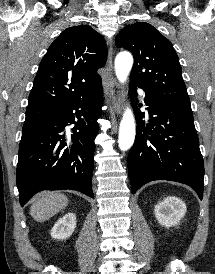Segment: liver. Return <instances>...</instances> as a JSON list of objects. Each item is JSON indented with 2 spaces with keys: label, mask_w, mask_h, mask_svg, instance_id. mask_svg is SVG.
Listing matches in <instances>:
<instances>
[{
  "label": "liver",
  "mask_w": 215,
  "mask_h": 274,
  "mask_svg": "<svg viewBox=\"0 0 215 274\" xmlns=\"http://www.w3.org/2000/svg\"><path fill=\"white\" fill-rule=\"evenodd\" d=\"M68 204V198L59 193L41 192L30 207L31 216L38 222H44L62 211Z\"/></svg>",
  "instance_id": "6515ba94"
}]
</instances>
